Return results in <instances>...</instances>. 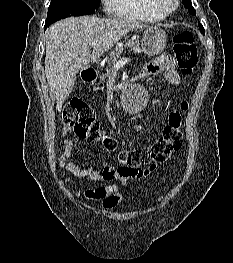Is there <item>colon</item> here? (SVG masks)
<instances>
[{
  "mask_svg": "<svg viewBox=\"0 0 233 263\" xmlns=\"http://www.w3.org/2000/svg\"><path fill=\"white\" fill-rule=\"evenodd\" d=\"M173 51L179 70L184 74H191L198 61L192 33L185 30L176 33L173 38ZM187 109V102H182L179 110L172 111L162 135L149 146L120 151V172L124 175L138 176L143 166L151 168L167 162L172 153L182 147V112ZM62 122L77 137L90 143L101 142L109 152L118 150L116 140L103 130L94 110L83 100L74 98L64 107Z\"/></svg>",
  "mask_w": 233,
  "mask_h": 263,
  "instance_id": "5ec220e1",
  "label": "colon"
}]
</instances>
